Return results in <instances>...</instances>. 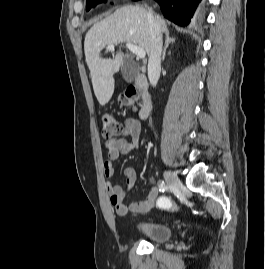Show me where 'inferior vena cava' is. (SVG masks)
Wrapping results in <instances>:
<instances>
[{"mask_svg": "<svg viewBox=\"0 0 265 269\" xmlns=\"http://www.w3.org/2000/svg\"><path fill=\"white\" fill-rule=\"evenodd\" d=\"M151 36V53L148 62V78L152 86H156L161 71L162 34L155 23L151 11H148Z\"/></svg>", "mask_w": 265, "mask_h": 269, "instance_id": "602c4592", "label": "inferior vena cava"}]
</instances>
